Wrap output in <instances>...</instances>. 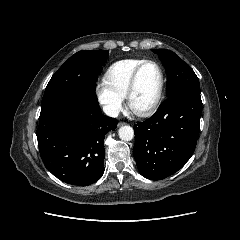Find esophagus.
Masks as SVG:
<instances>
[{"mask_svg": "<svg viewBox=\"0 0 240 240\" xmlns=\"http://www.w3.org/2000/svg\"><path fill=\"white\" fill-rule=\"evenodd\" d=\"M125 123L124 122H119L118 123V126H122V125H124Z\"/></svg>", "mask_w": 240, "mask_h": 240, "instance_id": "34e87169", "label": "esophagus"}]
</instances>
